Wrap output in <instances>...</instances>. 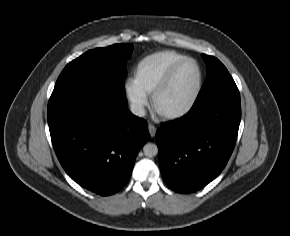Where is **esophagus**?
I'll return each instance as SVG.
<instances>
[{"instance_id": "34e87169", "label": "esophagus", "mask_w": 290, "mask_h": 236, "mask_svg": "<svg viewBox=\"0 0 290 236\" xmlns=\"http://www.w3.org/2000/svg\"><path fill=\"white\" fill-rule=\"evenodd\" d=\"M148 131L151 137H154L157 131V127L153 124H148Z\"/></svg>"}]
</instances>
